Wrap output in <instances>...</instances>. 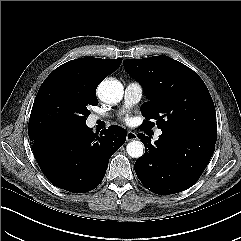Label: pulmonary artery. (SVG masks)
Instances as JSON below:
<instances>
[{"instance_id": "obj_1", "label": "pulmonary artery", "mask_w": 241, "mask_h": 241, "mask_svg": "<svg viewBox=\"0 0 241 241\" xmlns=\"http://www.w3.org/2000/svg\"><path fill=\"white\" fill-rule=\"evenodd\" d=\"M143 95V87L138 82H130L126 85L124 92V107L129 108L134 104L138 103ZM100 117L92 115L90 117L91 123H95ZM162 134L161 130L155 132V137L158 138Z\"/></svg>"}]
</instances>
